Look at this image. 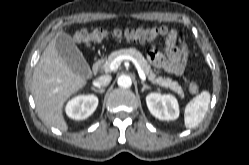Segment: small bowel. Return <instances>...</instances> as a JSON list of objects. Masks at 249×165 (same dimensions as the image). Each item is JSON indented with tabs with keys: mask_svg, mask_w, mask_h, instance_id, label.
Instances as JSON below:
<instances>
[{
	"mask_svg": "<svg viewBox=\"0 0 249 165\" xmlns=\"http://www.w3.org/2000/svg\"><path fill=\"white\" fill-rule=\"evenodd\" d=\"M165 54L156 50L148 53L150 62L158 69L174 75H182L187 65V50L176 30L169 31L165 40Z\"/></svg>",
	"mask_w": 249,
	"mask_h": 165,
	"instance_id": "1",
	"label": "small bowel"
}]
</instances>
